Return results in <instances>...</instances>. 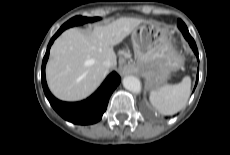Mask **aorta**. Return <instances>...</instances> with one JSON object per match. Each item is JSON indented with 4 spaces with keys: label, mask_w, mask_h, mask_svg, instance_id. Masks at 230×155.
Here are the masks:
<instances>
[{
    "label": "aorta",
    "mask_w": 230,
    "mask_h": 155,
    "mask_svg": "<svg viewBox=\"0 0 230 155\" xmlns=\"http://www.w3.org/2000/svg\"><path fill=\"white\" fill-rule=\"evenodd\" d=\"M123 86L130 92L139 94L141 92V82L135 76H125L123 78Z\"/></svg>",
    "instance_id": "obj_1"
}]
</instances>
